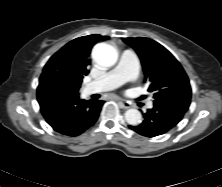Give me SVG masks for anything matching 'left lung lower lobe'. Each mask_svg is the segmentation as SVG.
<instances>
[{
  "instance_id": "0a47b994",
  "label": "left lung lower lobe",
  "mask_w": 222,
  "mask_h": 187,
  "mask_svg": "<svg viewBox=\"0 0 222 187\" xmlns=\"http://www.w3.org/2000/svg\"><path fill=\"white\" fill-rule=\"evenodd\" d=\"M190 100L189 92L159 96L154 100L153 108L143 114V122L129 128L146 137L165 134L181 121L189 108Z\"/></svg>"
}]
</instances>
